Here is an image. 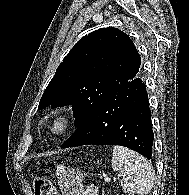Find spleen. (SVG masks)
Segmentation results:
<instances>
[{
    "instance_id": "3e777b00",
    "label": "spleen",
    "mask_w": 189,
    "mask_h": 195,
    "mask_svg": "<svg viewBox=\"0 0 189 195\" xmlns=\"http://www.w3.org/2000/svg\"><path fill=\"white\" fill-rule=\"evenodd\" d=\"M111 165L121 176L124 192L132 195H146L151 192L154 174L150 162L143 156L117 145L113 148Z\"/></svg>"
}]
</instances>
